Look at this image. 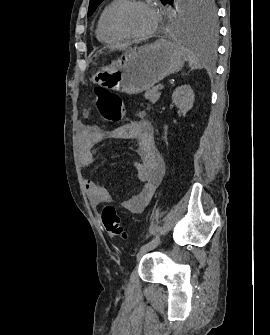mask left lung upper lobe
<instances>
[{
	"label": "left lung upper lobe",
	"instance_id": "5c2ea615",
	"mask_svg": "<svg viewBox=\"0 0 270 335\" xmlns=\"http://www.w3.org/2000/svg\"><path fill=\"white\" fill-rule=\"evenodd\" d=\"M103 0H90L87 17L91 16ZM165 5L173 0H161ZM184 25L194 31L213 33L216 10L213 0H182L179 9Z\"/></svg>",
	"mask_w": 270,
	"mask_h": 335
}]
</instances>
